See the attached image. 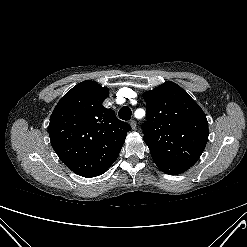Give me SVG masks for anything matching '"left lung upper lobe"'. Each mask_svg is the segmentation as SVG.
I'll return each mask as SVG.
<instances>
[{"label": "left lung upper lobe", "mask_w": 247, "mask_h": 247, "mask_svg": "<svg viewBox=\"0 0 247 247\" xmlns=\"http://www.w3.org/2000/svg\"><path fill=\"white\" fill-rule=\"evenodd\" d=\"M143 97L147 110L143 139L152 158L193 166L209 135L203 110L174 82H165Z\"/></svg>", "instance_id": "obj_1"}]
</instances>
